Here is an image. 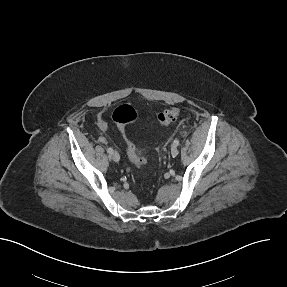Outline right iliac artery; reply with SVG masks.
Listing matches in <instances>:
<instances>
[{"label":"right iliac artery","instance_id":"obj_1","mask_svg":"<svg viewBox=\"0 0 287 287\" xmlns=\"http://www.w3.org/2000/svg\"><path fill=\"white\" fill-rule=\"evenodd\" d=\"M107 152H108L109 154H112V153H113V149H112V148H108V149H107Z\"/></svg>","mask_w":287,"mask_h":287}]
</instances>
